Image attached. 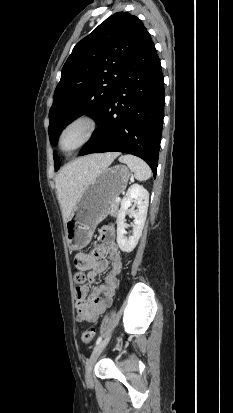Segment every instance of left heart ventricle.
<instances>
[{
	"label": "left heart ventricle",
	"mask_w": 233,
	"mask_h": 413,
	"mask_svg": "<svg viewBox=\"0 0 233 413\" xmlns=\"http://www.w3.org/2000/svg\"><path fill=\"white\" fill-rule=\"evenodd\" d=\"M84 126L77 125L66 132L62 139V147L65 150H70L76 146L84 135Z\"/></svg>",
	"instance_id": "1"
}]
</instances>
